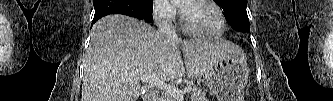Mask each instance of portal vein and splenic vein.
Returning a JSON list of instances; mask_svg holds the SVG:
<instances>
[{"label":"portal vein and splenic vein","mask_w":333,"mask_h":101,"mask_svg":"<svg viewBox=\"0 0 333 101\" xmlns=\"http://www.w3.org/2000/svg\"><path fill=\"white\" fill-rule=\"evenodd\" d=\"M139 79L143 82L148 83L149 85L157 86L160 89L164 90L166 93H169L173 97H176L179 100H183V96L185 93L191 92V87H186L184 90L177 89L171 85H168L164 81H161L157 77L153 75H142Z\"/></svg>","instance_id":"18ae733b"}]
</instances>
